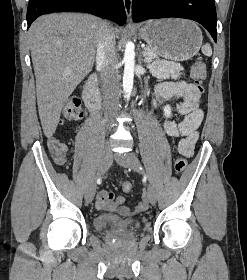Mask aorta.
I'll return each mask as SVG.
<instances>
[{"mask_svg":"<svg viewBox=\"0 0 247 280\" xmlns=\"http://www.w3.org/2000/svg\"><path fill=\"white\" fill-rule=\"evenodd\" d=\"M135 52L134 44L128 42L126 44L124 53V75H123V92L124 98L129 100L133 88V78H134V66H135Z\"/></svg>","mask_w":247,"mask_h":280,"instance_id":"762f6f07","label":"aorta"}]
</instances>
